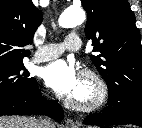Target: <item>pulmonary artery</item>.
I'll list each match as a JSON object with an SVG mask.
<instances>
[{
  "label": "pulmonary artery",
  "mask_w": 142,
  "mask_h": 128,
  "mask_svg": "<svg viewBox=\"0 0 142 128\" xmlns=\"http://www.w3.org/2000/svg\"><path fill=\"white\" fill-rule=\"evenodd\" d=\"M81 39L75 33L66 36L62 43H51L39 47L32 59L33 63H41L60 56L64 51H78L81 48Z\"/></svg>",
  "instance_id": "pulmonary-artery-1"
}]
</instances>
